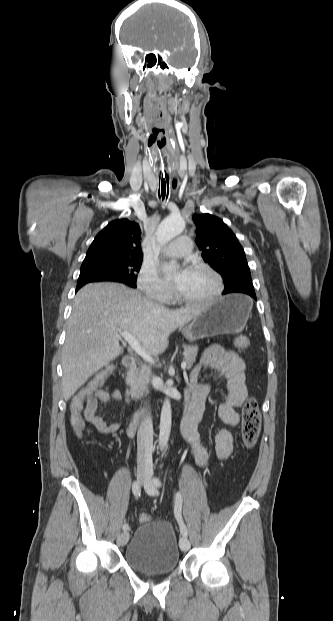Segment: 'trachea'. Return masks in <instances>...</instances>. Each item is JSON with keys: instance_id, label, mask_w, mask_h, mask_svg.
<instances>
[{"instance_id": "trachea-1", "label": "trachea", "mask_w": 333, "mask_h": 621, "mask_svg": "<svg viewBox=\"0 0 333 621\" xmlns=\"http://www.w3.org/2000/svg\"><path fill=\"white\" fill-rule=\"evenodd\" d=\"M168 192H169V177L166 176H162L161 178H159V191H158V195L159 198L161 197L162 200L168 198Z\"/></svg>"}]
</instances>
